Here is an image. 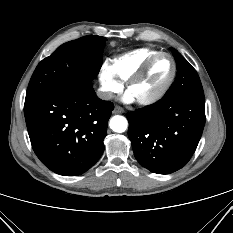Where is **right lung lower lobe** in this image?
Segmentation results:
<instances>
[{
  "label": "right lung lower lobe",
  "mask_w": 233,
  "mask_h": 233,
  "mask_svg": "<svg viewBox=\"0 0 233 233\" xmlns=\"http://www.w3.org/2000/svg\"><path fill=\"white\" fill-rule=\"evenodd\" d=\"M113 103L99 99L92 81L65 84L25 100L32 148L53 172L76 176L101 157Z\"/></svg>",
  "instance_id": "1"
}]
</instances>
